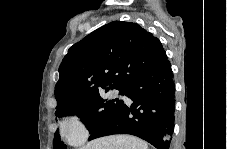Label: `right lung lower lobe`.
I'll list each match as a JSON object with an SVG mask.
<instances>
[{"label": "right lung lower lobe", "mask_w": 227, "mask_h": 149, "mask_svg": "<svg viewBox=\"0 0 227 149\" xmlns=\"http://www.w3.org/2000/svg\"><path fill=\"white\" fill-rule=\"evenodd\" d=\"M175 87L170 62L133 81L124 95L133 104H122L107 120L94 129L93 140L113 134L140 137L157 149H169L174 131Z\"/></svg>", "instance_id": "1"}]
</instances>
